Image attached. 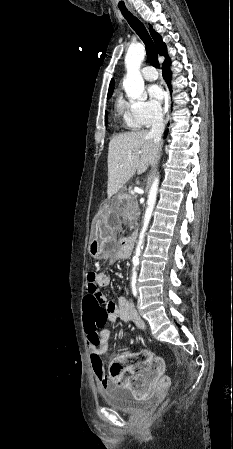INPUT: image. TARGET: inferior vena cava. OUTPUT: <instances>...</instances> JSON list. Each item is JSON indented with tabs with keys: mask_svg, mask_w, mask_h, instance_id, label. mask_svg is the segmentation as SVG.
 <instances>
[{
	"mask_svg": "<svg viewBox=\"0 0 233 449\" xmlns=\"http://www.w3.org/2000/svg\"><path fill=\"white\" fill-rule=\"evenodd\" d=\"M164 132L163 114L161 110H156L154 112L152 127L149 135L153 138L155 144H160L162 139V134Z\"/></svg>",
	"mask_w": 233,
	"mask_h": 449,
	"instance_id": "inferior-vena-cava-1",
	"label": "inferior vena cava"
}]
</instances>
